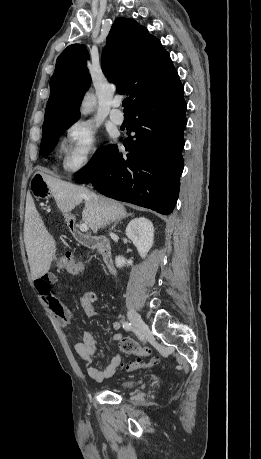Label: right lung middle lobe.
Returning <instances> with one entry per match:
<instances>
[{
	"label": "right lung middle lobe",
	"mask_w": 261,
	"mask_h": 459,
	"mask_svg": "<svg viewBox=\"0 0 261 459\" xmlns=\"http://www.w3.org/2000/svg\"><path fill=\"white\" fill-rule=\"evenodd\" d=\"M73 123L74 122L59 124V125H55V126H51V127H47L43 129L40 151H41V154L45 158L54 149L61 134L66 129H68ZM110 146L111 145L105 147L104 149L100 151V153H97L95 156H93V158L89 161L87 166L83 168L81 171L76 173V176L83 175L89 171L94 170L96 167H98L102 163L107 153V150Z\"/></svg>",
	"instance_id": "1"
}]
</instances>
